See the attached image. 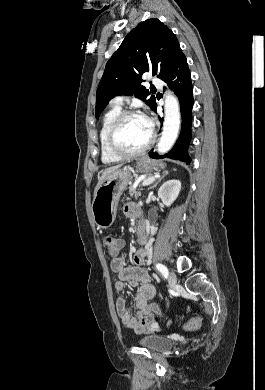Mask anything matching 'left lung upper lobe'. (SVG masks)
<instances>
[{"instance_id":"left-lung-upper-lobe-1","label":"left lung upper lobe","mask_w":265,"mask_h":390,"mask_svg":"<svg viewBox=\"0 0 265 390\" xmlns=\"http://www.w3.org/2000/svg\"><path fill=\"white\" fill-rule=\"evenodd\" d=\"M182 53L175 34L156 18L139 23L129 32L106 64L97 89L95 116L99 117L108 102L118 95H135L152 110L155 97L141 85L143 73L164 80Z\"/></svg>"}]
</instances>
